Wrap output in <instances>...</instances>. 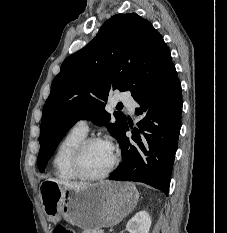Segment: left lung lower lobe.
<instances>
[{
    "label": "left lung lower lobe",
    "mask_w": 227,
    "mask_h": 233,
    "mask_svg": "<svg viewBox=\"0 0 227 233\" xmlns=\"http://www.w3.org/2000/svg\"><path fill=\"white\" fill-rule=\"evenodd\" d=\"M140 105L135 114L140 117V129L126 137V124L118 143L122 163L110 175V180L146 183L163 191L169 190L172 167L181 128V84L172 65L163 78L148 91L134 97Z\"/></svg>",
    "instance_id": "0a47b994"
}]
</instances>
